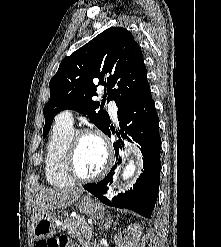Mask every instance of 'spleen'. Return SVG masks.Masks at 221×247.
Here are the masks:
<instances>
[{"label":"spleen","mask_w":221,"mask_h":247,"mask_svg":"<svg viewBox=\"0 0 221 247\" xmlns=\"http://www.w3.org/2000/svg\"><path fill=\"white\" fill-rule=\"evenodd\" d=\"M106 224H107V225L105 226V228H106V229L110 228L111 220H110V219L107 220V223H106Z\"/></svg>","instance_id":"spleen-1"}]
</instances>
